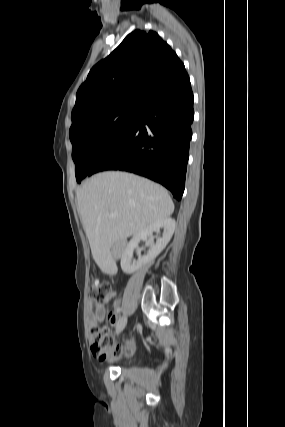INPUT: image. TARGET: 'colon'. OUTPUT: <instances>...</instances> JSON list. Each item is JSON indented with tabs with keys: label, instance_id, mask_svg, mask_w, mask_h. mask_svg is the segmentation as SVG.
<instances>
[{
	"label": "colon",
	"instance_id": "obj_1",
	"mask_svg": "<svg viewBox=\"0 0 285 427\" xmlns=\"http://www.w3.org/2000/svg\"><path fill=\"white\" fill-rule=\"evenodd\" d=\"M109 284L98 280L91 281L88 289V296L97 303H102L110 293ZM90 338L93 342V350L98 353L102 359H109L113 356L110 351L113 346V340L109 329L106 327H91Z\"/></svg>",
	"mask_w": 285,
	"mask_h": 427
}]
</instances>
